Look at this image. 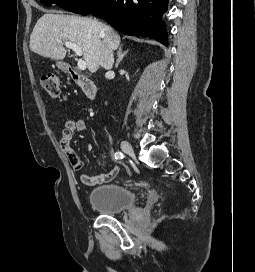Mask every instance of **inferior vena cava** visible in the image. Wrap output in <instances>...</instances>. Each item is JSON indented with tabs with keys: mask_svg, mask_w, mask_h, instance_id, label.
<instances>
[{
	"mask_svg": "<svg viewBox=\"0 0 255 272\" xmlns=\"http://www.w3.org/2000/svg\"><path fill=\"white\" fill-rule=\"evenodd\" d=\"M113 63H114L113 52L111 50L104 48L101 54L100 65L104 69L110 70L113 66Z\"/></svg>",
	"mask_w": 255,
	"mask_h": 272,
	"instance_id": "602c4592",
	"label": "inferior vena cava"
}]
</instances>
